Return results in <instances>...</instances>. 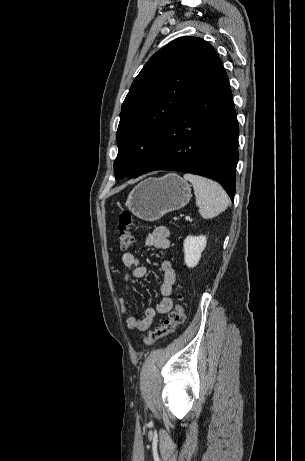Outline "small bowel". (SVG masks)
Segmentation results:
<instances>
[{
	"mask_svg": "<svg viewBox=\"0 0 305 461\" xmlns=\"http://www.w3.org/2000/svg\"><path fill=\"white\" fill-rule=\"evenodd\" d=\"M171 233L167 227L159 226L146 237V245L154 248L165 250L170 247ZM122 263L125 268L131 270L130 275L124 276L122 290L124 293L132 291L130 278H142L148 273L147 266L140 263V260L132 252H125L122 255ZM163 272V281L160 286V299L155 308H148L142 318H136L134 315L126 317V325L131 330H147L158 316L167 314L173 306L172 292L176 282V272L169 259H164L161 263ZM119 306L122 314L127 313L128 307L124 297L119 298Z\"/></svg>",
	"mask_w": 305,
	"mask_h": 461,
	"instance_id": "obj_1",
	"label": "small bowel"
}]
</instances>
